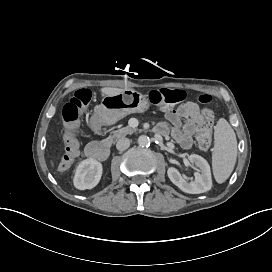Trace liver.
I'll list each match as a JSON object with an SVG mask.
<instances>
[{
    "mask_svg": "<svg viewBox=\"0 0 272 272\" xmlns=\"http://www.w3.org/2000/svg\"><path fill=\"white\" fill-rule=\"evenodd\" d=\"M124 89H119V88H111V87H104L101 89L102 94L105 95H115L118 93H122ZM53 165V163H51Z\"/></svg>",
    "mask_w": 272,
    "mask_h": 272,
    "instance_id": "obj_1",
    "label": "liver"
}]
</instances>
